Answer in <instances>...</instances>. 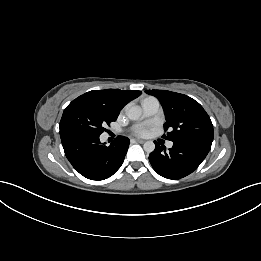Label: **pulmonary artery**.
I'll return each instance as SVG.
<instances>
[{
  "label": "pulmonary artery",
  "instance_id": "e3ab8cb5",
  "mask_svg": "<svg viewBox=\"0 0 261 261\" xmlns=\"http://www.w3.org/2000/svg\"><path fill=\"white\" fill-rule=\"evenodd\" d=\"M160 108L159 101L154 97H148L142 101V109L144 117L146 119H152L158 113ZM173 146L172 142L167 143V147L171 148Z\"/></svg>",
  "mask_w": 261,
  "mask_h": 261
}]
</instances>
